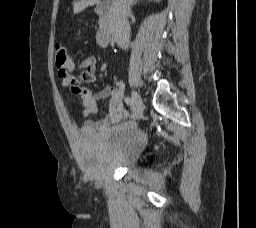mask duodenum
<instances>
[{
  "label": "duodenum",
  "instance_id": "duodenum-1",
  "mask_svg": "<svg viewBox=\"0 0 256 228\" xmlns=\"http://www.w3.org/2000/svg\"><path fill=\"white\" fill-rule=\"evenodd\" d=\"M95 11L100 19V26L97 33V42L102 47L112 43L113 32V11L109 1L100 2L96 5Z\"/></svg>",
  "mask_w": 256,
  "mask_h": 228
}]
</instances>
